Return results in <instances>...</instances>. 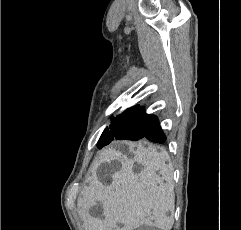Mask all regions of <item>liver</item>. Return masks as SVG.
Wrapping results in <instances>:
<instances>
[{"mask_svg": "<svg viewBox=\"0 0 241 230\" xmlns=\"http://www.w3.org/2000/svg\"><path fill=\"white\" fill-rule=\"evenodd\" d=\"M128 146L132 158L113 148L99 153L96 168L106 164L112 182L103 185L96 171L88 177L89 185L77 200L85 230H133L153 221L161 230L172 228L174 195L167 192L173 186V170L166 163L168 152L152 145L144 147L139 144L136 149L132 143ZM114 162L118 164L116 170L112 167ZM134 163L143 166L139 174L133 170ZM97 203L103 207V219L90 214V209ZM120 223L122 228L118 226Z\"/></svg>", "mask_w": 241, "mask_h": 230, "instance_id": "1", "label": "liver"}]
</instances>
